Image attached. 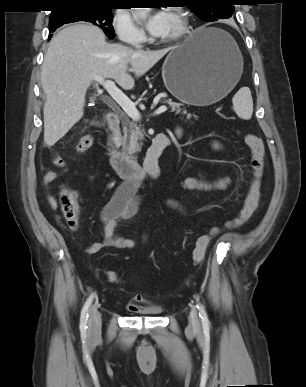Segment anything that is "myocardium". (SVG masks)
I'll return each mask as SVG.
<instances>
[{"label":"myocardium","mask_w":306,"mask_h":387,"mask_svg":"<svg viewBox=\"0 0 306 387\" xmlns=\"http://www.w3.org/2000/svg\"><path fill=\"white\" fill-rule=\"evenodd\" d=\"M178 19L177 29L168 37H165L164 42H173L183 38L188 32L189 18L183 8L175 7L169 11Z\"/></svg>","instance_id":"f54148a6"}]
</instances>
